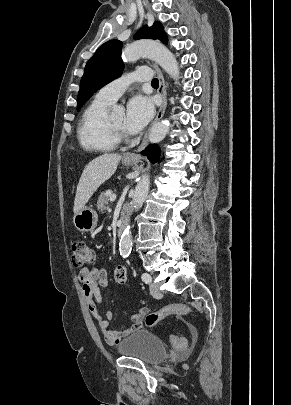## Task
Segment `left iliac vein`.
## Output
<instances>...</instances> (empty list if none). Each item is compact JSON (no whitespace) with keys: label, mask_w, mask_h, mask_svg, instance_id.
<instances>
[{"label":"left iliac vein","mask_w":291,"mask_h":405,"mask_svg":"<svg viewBox=\"0 0 291 405\" xmlns=\"http://www.w3.org/2000/svg\"><path fill=\"white\" fill-rule=\"evenodd\" d=\"M150 293L155 298H160L162 296V292L156 283H151L149 286Z\"/></svg>","instance_id":"left-iliac-vein-1"}]
</instances>
